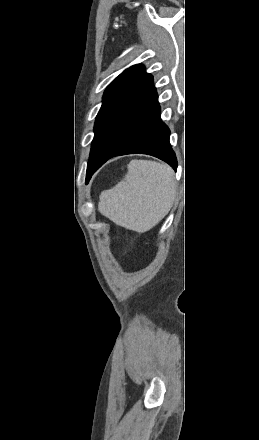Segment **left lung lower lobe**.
<instances>
[{"label":"left lung lower lobe","instance_id":"left-lung-lower-lobe-1","mask_svg":"<svg viewBox=\"0 0 259 440\" xmlns=\"http://www.w3.org/2000/svg\"><path fill=\"white\" fill-rule=\"evenodd\" d=\"M169 136L170 130L160 118V106L152 80L116 128L96 160L92 174L111 157L134 153L155 156L176 170L177 159Z\"/></svg>","mask_w":259,"mask_h":440}]
</instances>
